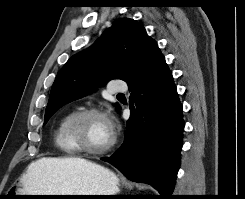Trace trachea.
Segmentation results:
<instances>
[{"label":"trachea","instance_id":"obj_1","mask_svg":"<svg viewBox=\"0 0 245 199\" xmlns=\"http://www.w3.org/2000/svg\"><path fill=\"white\" fill-rule=\"evenodd\" d=\"M117 96H124V94H122V93H119Z\"/></svg>","mask_w":245,"mask_h":199}]
</instances>
